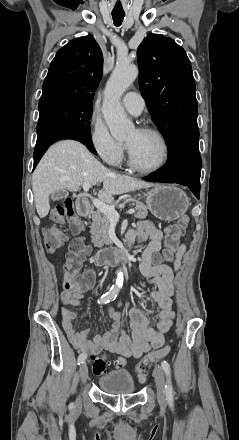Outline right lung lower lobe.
Masks as SVG:
<instances>
[{"instance_id":"right-lung-lower-lobe-1","label":"right lung lower lobe","mask_w":239,"mask_h":440,"mask_svg":"<svg viewBox=\"0 0 239 440\" xmlns=\"http://www.w3.org/2000/svg\"><path fill=\"white\" fill-rule=\"evenodd\" d=\"M62 139H74L83 143L92 153L96 154L91 140L90 132L82 131L69 126H51L38 132L37 142L34 150V167L46 152L48 147Z\"/></svg>"}]
</instances>
